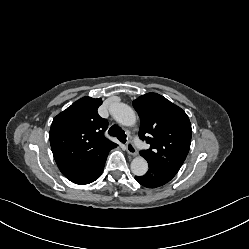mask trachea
<instances>
[{
	"mask_svg": "<svg viewBox=\"0 0 249 249\" xmlns=\"http://www.w3.org/2000/svg\"><path fill=\"white\" fill-rule=\"evenodd\" d=\"M108 133L113 137H117L120 142H126V134L118 125L111 126Z\"/></svg>",
	"mask_w": 249,
	"mask_h": 249,
	"instance_id": "3493384b",
	"label": "trachea"
}]
</instances>
